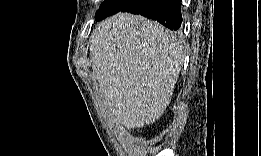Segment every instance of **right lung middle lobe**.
Instances as JSON below:
<instances>
[{
	"mask_svg": "<svg viewBox=\"0 0 261 156\" xmlns=\"http://www.w3.org/2000/svg\"><path fill=\"white\" fill-rule=\"evenodd\" d=\"M132 0H105L96 14V21H100L126 7Z\"/></svg>",
	"mask_w": 261,
	"mask_h": 156,
	"instance_id": "right-lung-middle-lobe-1",
	"label": "right lung middle lobe"
}]
</instances>
